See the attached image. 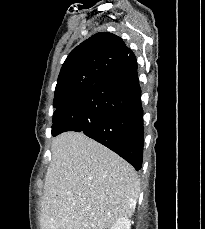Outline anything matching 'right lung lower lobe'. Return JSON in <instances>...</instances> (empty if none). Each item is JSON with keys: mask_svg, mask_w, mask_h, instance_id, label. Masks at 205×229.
I'll return each instance as SVG.
<instances>
[{"mask_svg": "<svg viewBox=\"0 0 205 229\" xmlns=\"http://www.w3.org/2000/svg\"><path fill=\"white\" fill-rule=\"evenodd\" d=\"M64 131H82L140 170L143 110L132 51L118 68L54 112L52 135Z\"/></svg>", "mask_w": 205, "mask_h": 229, "instance_id": "right-lung-lower-lobe-1", "label": "right lung lower lobe"}]
</instances>
